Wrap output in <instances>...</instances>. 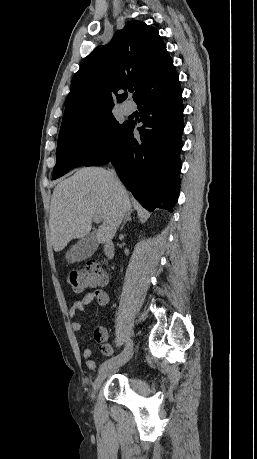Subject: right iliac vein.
Segmentation results:
<instances>
[{"label":"right iliac vein","instance_id":"63e3f726","mask_svg":"<svg viewBox=\"0 0 257 459\" xmlns=\"http://www.w3.org/2000/svg\"><path fill=\"white\" fill-rule=\"evenodd\" d=\"M132 354H133V346L131 347L130 351L119 362L111 365L110 367H108L107 369H105V370H103V371H101L99 373V375L95 379V381L93 383V386H92V397H94L95 392L102 385V383L106 379L107 375L111 371H113V370L117 369L118 367L122 366L123 364H125L130 359Z\"/></svg>","mask_w":257,"mask_h":459}]
</instances>
